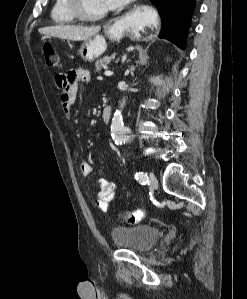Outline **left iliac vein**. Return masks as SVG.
<instances>
[{
	"instance_id": "left-iliac-vein-1",
	"label": "left iliac vein",
	"mask_w": 247,
	"mask_h": 299,
	"mask_svg": "<svg viewBox=\"0 0 247 299\" xmlns=\"http://www.w3.org/2000/svg\"><path fill=\"white\" fill-rule=\"evenodd\" d=\"M149 186L153 190H156L158 188V180L152 173H149Z\"/></svg>"
}]
</instances>
